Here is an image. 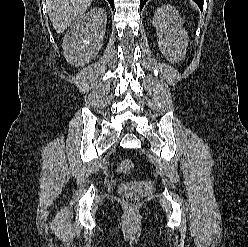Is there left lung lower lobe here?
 Returning <instances> with one entry per match:
<instances>
[{"label": "left lung lower lobe", "mask_w": 248, "mask_h": 247, "mask_svg": "<svg viewBox=\"0 0 248 247\" xmlns=\"http://www.w3.org/2000/svg\"><path fill=\"white\" fill-rule=\"evenodd\" d=\"M148 0H140V9L142 10V8L144 7V4L147 2ZM197 5L199 6V8L202 10L203 9V2L204 0H194Z\"/></svg>", "instance_id": "1"}]
</instances>
